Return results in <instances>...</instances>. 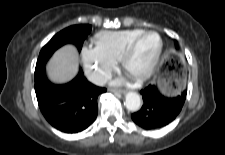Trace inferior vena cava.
Masks as SVG:
<instances>
[{"instance_id": "1", "label": "inferior vena cava", "mask_w": 225, "mask_h": 155, "mask_svg": "<svg viewBox=\"0 0 225 155\" xmlns=\"http://www.w3.org/2000/svg\"><path fill=\"white\" fill-rule=\"evenodd\" d=\"M112 74L110 72H97L91 78L92 83L98 86L105 85L109 80H111Z\"/></svg>"}]
</instances>
